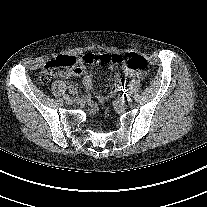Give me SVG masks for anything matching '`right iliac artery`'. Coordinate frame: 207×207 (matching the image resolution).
<instances>
[{"mask_svg": "<svg viewBox=\"0 0 207 207\" xmlns=\"http://www.w3.org/2000/svg\"><path fill=\"white\" fill-rule=\"evenodd\" d=\"M63 98H64L65 100H68V99H69V95H68V94H65V95L63 96Z\"/></svg>", "mask_w": 207, "mask_h": 207, "instance_id": "obj_1", "label": "right iliac artery"}]
</instances>
